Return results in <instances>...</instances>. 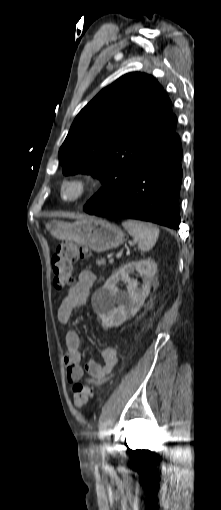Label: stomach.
I'll use <instances>...</instances> for the list:
<instances>
[{
    "mask_svg": "<svg viewBox=\"0 0 221 510\" xmlns=\"http://www.w3.org/2000/svg\"><path fill=\"white\" fill-rule=\"evenodd\" d=\"M47 231L59 240L73 241L95 252H104L124 242V233L109 221L87 217L73 223L51 220Z\"/></svg>",
    "mask_w": 221,
    "mask_h": 510,
    "instance_id": "1",
    "label": "stomach"
}]
</instances>
